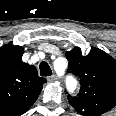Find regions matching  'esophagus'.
Segmentation results:
<instances>
[{
  "label": "esophagus",
  "mask_w": 116,
  "mask_h": 116,
  "mask_svg": "<svg viewBox=\"0 0 116 116\" xmlns=\"http://www.w3.org/2000/svg\"><path fill=\"white\" fill-rule=\"evenodd\" d=\"M47 80L50 81V82H55V81L58 80V78H57V76L55 74H53V75L49 76L47 78Z\"/></svg>",
  "instance_id": "obj_1"
}]
</instances>
